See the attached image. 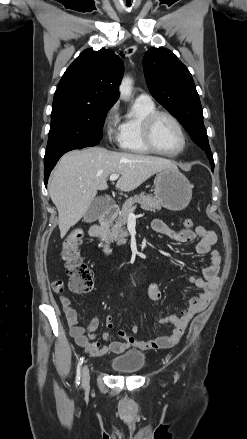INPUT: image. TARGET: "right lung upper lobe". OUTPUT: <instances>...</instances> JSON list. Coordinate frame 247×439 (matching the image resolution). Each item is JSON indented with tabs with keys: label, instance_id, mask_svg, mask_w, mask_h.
Returning a JSON list of instances; mask_svg holds the SVG:
<instances>
[{
	"label": "right lung upper lobe",
	"instance_id": "cb5924a9",
	"mask_svg": "<svg viewBox=\"0 0 247 439\" xmlns=\"http://www.w3.org/2000/svg\"><path fill=\"white\" fill-rule=\"evenodd\" d=\"M123 72V62L113 51L85 49L58 83L52 107H112L118 99V86Z\"/></svg>",
	"mask_w": 247,
	"mask_h": 439
}]
</instances>
